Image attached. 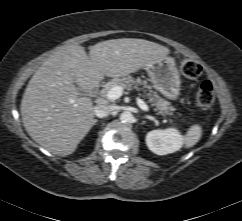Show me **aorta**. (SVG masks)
I'll return each mask as SVG.
<instances>
[{
	"label": "aorta",
	"mask_w": 242,
	"mask_h": 221,
	"mask_svg": "<svg viewBox=\"0 0 242 221\" xmlns=\"http://www.w3.org/2000/svg\"><path fill=\"white\" fill-rule=\"evenodd\" d=\"M120 120L122 123H130L133 120V115L129 111H124L120 114Z\"/></svg>",
	"instance_id": "1"
}]
</instances>
